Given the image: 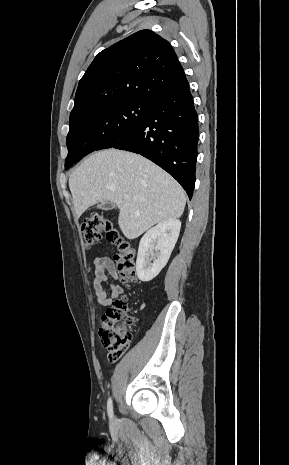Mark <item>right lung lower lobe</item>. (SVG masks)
<instances>
[{
	"instance_id": "obj_1",
	"label": "right lung lower lobe",
	"mask_w": 289,
	"mask_h": 465,
	"mask_svg": "<svg viewBox=\"0 0 289 465\" xmlns=\"http://www.w3.org/2000/svg\"><path fill=\"white\" fill-rule=\"evenodd\" d=\"M198 118L188 86L151 101L146 120L111 147L153 161L171 174L192 198L198 143Z\"/></svg>"
}]
</instances>
